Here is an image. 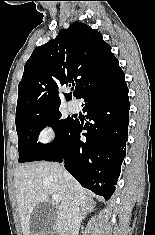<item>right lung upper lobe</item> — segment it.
<instances>
[{
  "instance_id": "obj_1",
  "label": "right lung upper lobe",
  "mask_w": 155,
  "mask_h": 235,
  "mask_svg": "<svg viewBox=\"0 0 155 235\" xmlns=\"http://www.w3.org/2000/svg\"><path fill=\"white\" fill-rule=\"evenodd\" d=\"M120 69L101 33L82 22H73L56 39L37 47L26 62L18 85L16 117L59 108L58 88L72 82L73 95L78 98L91 84ZM64 95L69 100L72 93Z\"/></svg>"
}]
</instances>
